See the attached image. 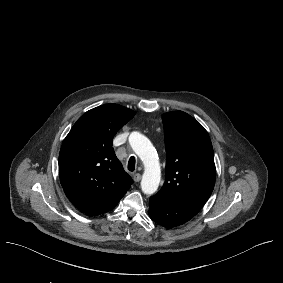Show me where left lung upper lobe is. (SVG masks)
<instances>
[{
  "label": "left lung upper lobe",
  "mask_w": 283,
  "mask_h": 283,
  "mask_svg": "<svg viewBox=\"0 0 283 283\" xmlns=\"http://www.w3.org/2000/svg\"><path fill=\"white\" fill-rule=\"evenodd\" d=\"M162 121L167 162L165 183L157 194L202 208L216 177L210 137L202 125L182 111L165 113Z\"/></svg>",
  "instance_id": "1"
}]
</instances>
